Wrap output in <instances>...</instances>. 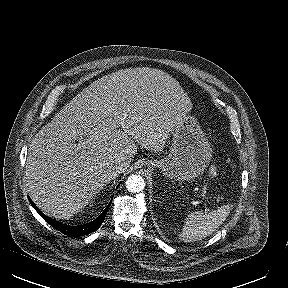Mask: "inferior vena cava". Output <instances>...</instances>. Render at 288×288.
Segmentation results:
<instances>
[{
	"instance_id": "inferior-vena-cava-1",
	"label": "inferior vena cava",
	"mask_w": 288,
	"mask_h": 288,
	"mask_svg": "<svg viewBox=\"0 0 288 288\" xmlns=\"http://www.w3.org/2000/svg\"><path fill=\"white\" fill-rule=\"evenodd\" d=\"M124 169L122 164H110L104 169V175L109 180L116 178Z\"/></svg>"
}]
</instances>
